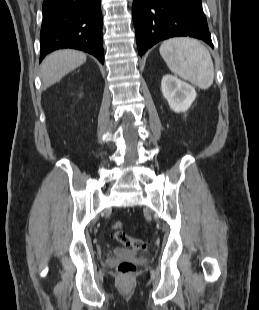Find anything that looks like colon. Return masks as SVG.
Returning <instances> with one entry per match:
<instances>
[{"instance_id": "obj_1", "label": "colon", "mask_w": 259, "mask_h": 310, "mask_svg": "<svg viewBox=\"0 0 259 310\" xmlns=\"http://www.w3.org/2000/svg\"><path fill=\"white\" fill-rule=\"evenodd\" d=\"M123 224L121 222H114L112 229L114 230V239L124 245L125 247H131L135 250L146 249L148 242L142 239L133 238L130 235L122 231ZM135 264L131 261H122L117 266V271L122 276H129L135 272Z\"/></svg>"}]
</instances>
